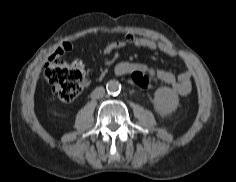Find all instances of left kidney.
I'll return each mask as SVG.
<instances>
[{"mask_svg": "<svg viewBox=\"0 0 236 182\" xmlns=\"http://www.w3.org/2000/svg\"><path fill=\"white\" fill-rule=\"evenodd\" d=\"M154 108L160 115H167L174 112L179 105V97L169 87H160L154 94Z\"/></svg>", "mask_w": 236, "mask_h": 182, "instance_id": "left-kidney-1", "label": "left kidney"}]
</instances>
